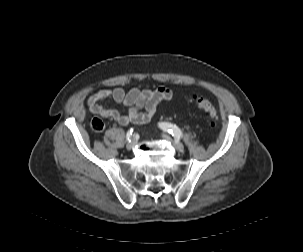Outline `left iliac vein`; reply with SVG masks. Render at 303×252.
Here are the masks:
<instances>
[{"label":"left iliac vein","instance_id":"1","mask_svg":"<svg viewBox=\"0 0 303 252\" xmlns=\"http://www.w3.org/2000/svg\"><path fill=\"white\" fill-rule=\"evenodd\" d=\"M162 137L167 140V141H170L172 142L174 148L178 151V152H183L184 150V146L182 143H180L178 140H172V138L167 135V134H163Z\"/></svg>","mask_w":303,"mask_h":252}]
</instances>
